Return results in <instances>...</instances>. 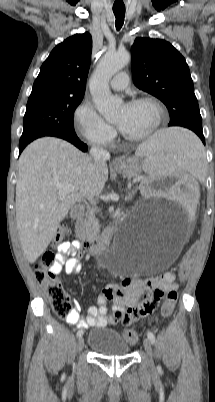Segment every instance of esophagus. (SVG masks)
Here are the masks:
<instances>
[{
  "mask_svg": "<svg viewBox=\"0 0 215 402\" xmlns=\"http://www.w3.org/2000/svg\"><path fill=\"white\" fill-rule=\"evenodd\" d=\"M121 164V159L116 157L112 160V166L116 167L119 166Z\"/></svg>",
  "mask_w": 215,
  "mask_h": 402,
  "instance_id": "esophagus-1",
  "label": "esophagus"
}]
</instances>
